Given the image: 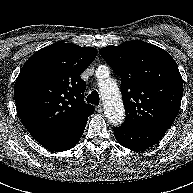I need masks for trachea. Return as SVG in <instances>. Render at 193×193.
<instances>
[{
	"label": "trachea",
	"instance_id": "3493384b",
	"mask_svg": "<svg viewBox=\"0 0 193 193\" xmlns=\"http://www.w3.org/2000/svg\"><path fill=\"white\" fill-rule=\"evenodd\" d=\"M87 102L94 104V105H99L100 103V97L99 94L96 90L92 91L88 96H87Z\"/></svg>",
	"mask_w": 193,
	"mask_h": 193
}]
</instances>
